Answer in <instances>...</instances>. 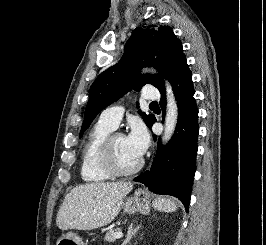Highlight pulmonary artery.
Returning a JSON list of instances; mask_svg holds the SVG:
<instances>
[{"instance_id": "obj_1", "label": "pulmonary artery", "mask_w": 266, "mask_h": 245, "mask_svg": "<svg viewBox=\"0 0 266 245\" xmlns=\"http://www.w3.org/2000/svg\"><path fill=\"white\" fill-rule=\"evenodd\" d=\"M146 96H141V101H157L158 92L154 91V86H145ZM124 113L122 106H112L103 110L98 121L104 122L115 128L120 122Z\"/></svg>"}]
</instances>
